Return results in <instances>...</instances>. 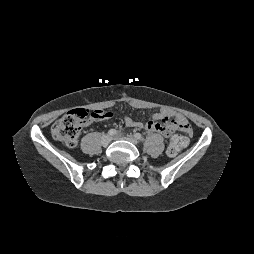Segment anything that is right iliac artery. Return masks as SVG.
Listing matches in <instances>:
<instances>
[{"label": "right iliac artery", "mask_w": 254, "mask_h": 254, "mask_svg": "<svg viewBox=\"0 0 254 254\" xmlns=\"http://www.w3.org/2000/svg\"><path fill=\"white\" fill-rule=\"evenodd\" d=\"M108 134H109L110 136H114V135L117 134V131H116L115 129H110V130L108 131Z\"/></svg>", "instance_id": "right-iliac-artery-1"}]
</instances>
